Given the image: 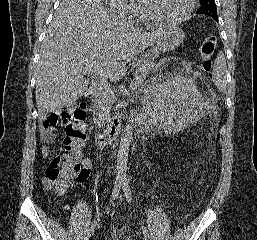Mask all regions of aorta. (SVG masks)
<instances>
[{
    "label": "aorta",
    "instance_id": "obj_1",
    "mask_svg": "<svg viewBox=\"0 0 257 240\" xmlns=\"http://www.w3.org/2000/svg\"><path fill=\"white\" fill-rule=\"evenodd\" d=\"M132 131V123L127 124L120 141V147L117 155V179L120 181L126 180L128 153L132 139Z\"/></svg>",
    "mask_w": 257,
    "mask_h": 240
}]
</instances>
